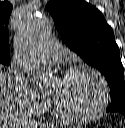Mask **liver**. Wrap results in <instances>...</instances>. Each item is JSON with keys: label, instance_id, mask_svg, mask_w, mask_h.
I'll use <instances>...</instances> for the list:
<instances>
[{"label": "liver", "instance_id": "1", "mask_svg": "<svg viewBox=\"0 0 125 128\" xmlns=\"http://www.w3.org/2000/svg\"><path fill=\"white\" fill-rule=\"evenodd\" d=\"M20 126H27V124L13 108L11 83L6 79L0 66V128H19Z\"/></svg>", "mask_w": 125, "mask_h": 128}]
</instances>
